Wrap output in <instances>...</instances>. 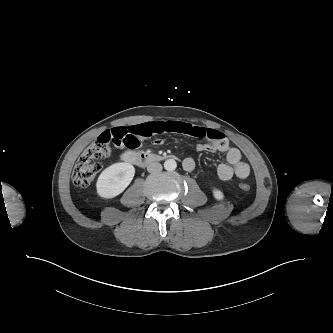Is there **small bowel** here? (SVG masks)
<instances>
[{
  "label": "small bowel",
  "mask_w": 333,
  "mask_h": 333,
  "mask_svg": "<svg viewBox=\"0 0 333 333\" xmlns=\"http://www.w3.org/2000/svg\"><path fill=\"white\" fill-rule=\"evenodd\" d=\"M165 133H178L206 139V142L196 144V150L198 152H219L225 155L226 162L217 167V174L223 181H228L235 176L244 179L250 173V166L242 161L240 151L229 144L223 133L186 122L152 121L128 127H115L100 134L98 139L112 142L119 149H135L140 147L145 139ZM162 143L163 141L159 138L153 142L156 146ZM183 167L187 171L194 170V159L192 157L185 158Z\"/></svg>",
  "instance_id": "obj_1"
}]
</instances>
